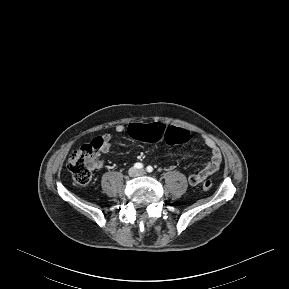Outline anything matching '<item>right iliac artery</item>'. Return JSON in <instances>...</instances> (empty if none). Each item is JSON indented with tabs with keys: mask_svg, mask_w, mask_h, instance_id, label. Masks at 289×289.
<instances>
[{
	"mask_svg": "<svg viewBox=\"0 0 289 289\" xmlns=\"http://www.w3.org/2000/svg\"><path fill=\"white\" fill-rule=\"evenodd\" d=\"M134 168H136V169H142V168H143V164L137 162V163L134 164Z\"/></svg>",
	"mask_w": 289,
	"mask_h": 289,
	"instance_id": "82829eb1",
	"label": "right iliac artery"
}]
</instances>
